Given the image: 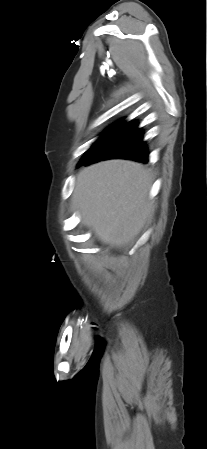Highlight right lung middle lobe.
<instances>
[{"label": "right lung middle lobe", "instance_id": "obj_1", "mask_svg": "<svg viewBox=\"0 0 207 449\" xmlns=\"http://www.w3.org/2000/svg\"><path fill=\"white\" fill-rule=\"evenodd\" d=\"M128 124H129V122L121 123V121H120V122H117L114 125H112L110 128H108L104 132L103 136L101 138H99L95 142V144L85 153V155L81 159V162L85 161L86 159L91 157L93 154H95L104 144H106L113 136H115L117 133H119Z\"/></svg>", "mask_w": 207, "mask_h": 449}]
</instances>
